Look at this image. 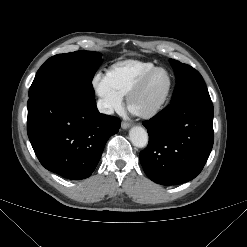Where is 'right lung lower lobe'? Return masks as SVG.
Segmentation results:
<instances>
[{
	"label": "right lung lower lobe",
	"instance_id": "right-lung-lower-lobe-1",
	"mask_svg": "<svg viewBox=\"0 0 247 247\" xmlns=\"http://www.w3.org/2000/svg\"><path fill=\"white\" fill-rule=\"evenodd\" d=\"M116 117L99 113L93 96L47 89L28 100L27 133L40 163L69 179L89 177L110 136Z\"/></svg>",
	"mask_w": 247,
	"mask_h": 247
}]
</instances>
